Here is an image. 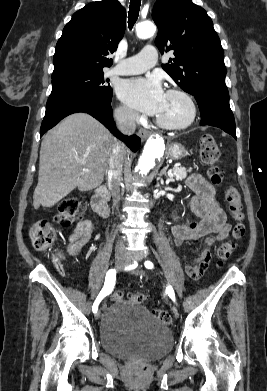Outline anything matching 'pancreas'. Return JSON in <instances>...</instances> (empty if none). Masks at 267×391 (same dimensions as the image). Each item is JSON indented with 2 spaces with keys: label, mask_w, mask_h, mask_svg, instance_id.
<instances>
[{
  "label": "pancreas",
  "mask_w": 267,
  "mask_h": 391,
  "mask_svg": "<svg viewBox=\"0 0 267 391\" xmlns=\"http://www.w3.org/2000/svg\"><path fill=\"white\" fill-rule=\"evenodd\" d=\"M192 168L186 169L185 167L176 166L173 168V175L175 180L181 181L187 177V173L191 172Z\"/></svg>",
  "instance_id": "obj_1"
}]
</instances>
